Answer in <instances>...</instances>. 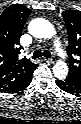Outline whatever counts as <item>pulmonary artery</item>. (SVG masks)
Returning a JSON list of instances; mask_svg holds the SVG:
<instances>
[{
    "instance_id": "e3ab8cb5",
    "label": "pulmonary artery",
    "mask_w": 81,
    "mask_h": 124,
    "mask_svg": "<svg viewBox=\"0 0 81 124\" xmlns=\"http://www.w3.org/2000/svg\"><path fill=\"white\" fill-rule=\"evenodd\" d=\"M56 53L58 54V56L62 55V50H61V47L59 45L56 46Z\"/></svg>"
}]
</instances>
